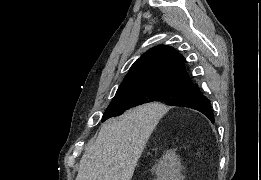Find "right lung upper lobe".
I'll use <instances>...</instances> for the list:
<instances>
[{
    "mask_svg": "<svg viewBox=\"0 0 261 180\" xmlns=\"http://www.w3.org/2000/svg\"><path fill=\"white\" fill-rule=\"evenodd\" d=\"M162 81H190L184 59L174 48L161 45L143 54L118 89Z\"/></svg>",
    "mask_w": 261,
    "mask_h": 180,
    "instance_id": "right-lung-upper-lobe-1",
    "label": "right lung upper lobe"
}]
</instances>
